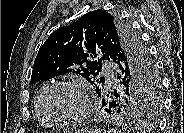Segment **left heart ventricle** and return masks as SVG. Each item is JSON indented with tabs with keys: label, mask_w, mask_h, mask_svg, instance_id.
<instances>
[{
	"label": "left heart ventricle",
	"mask_w": 184,
	"mask_h": 133,
	"mask_svg": "<svg viewBox=\"0 0 184 133\" xmlns=\"http://www.w3.org/2000/svg\"><path fill=\"white\" fill-rule=\"evenodd\" d=\"M47 109L55 119L71 118L81 109V96L73 88L58 87L50 93Z\"/></svg>",
	"instance_id": "left-heart-ventricle-1"
}]
</instances>
